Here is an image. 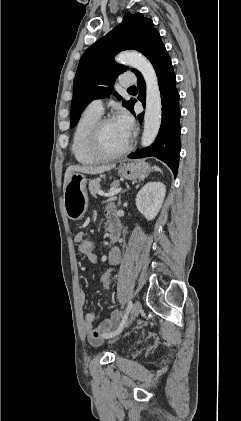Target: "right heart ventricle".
Wrapping results in <instances>:
<instances>
[{
    "instance_id": "e07e8e85",
    "label": "right heart ventricle",
    "mask_w": 241,
    "mask_h": 421,
    "mask_svg": "<svg viewBox=\"0 0 241 421\" xmlns=\"http://www.w3.org/2000/svg\"><path fill=\"white\" fill-rule=\"evenodd\" d=\"M101 114L86 108L81 114L73 132L71 151L75 160L82 165H95L100 162L89 149L88 139L93 125Z\"/></svg>"
}]
</instances>
